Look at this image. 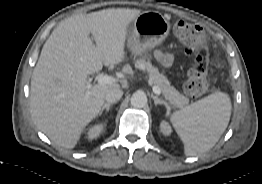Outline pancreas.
<instances>
[{"label": "pancreas", "instance_id": "cf45deb5", "mask_svg": "<svg viewBox=\"0 0 262 184\" xmlns=\"http://www.w3.org/2000/svg\"><path fill=\"white\" fill-rule=\"evenodd\" d=\"M135 66L139 69L147 71L153 84L160 88L162 94L172 106L182 108L188 104L189 99L180 94L173 86H171L164 74L160 73L149 60L147 61L144 58L138 59Z\"/></svg>", "mask_w": 262, "mask_h": 184}]
</instances>
